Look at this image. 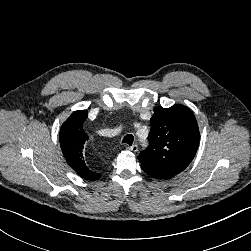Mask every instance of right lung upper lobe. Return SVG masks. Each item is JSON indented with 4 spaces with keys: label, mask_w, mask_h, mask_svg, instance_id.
I'll use <instances>...</instances> for the list:
<instances>
[{
    "label": "right lung upper lobe",
    "mask_w": 251,
    "mask_h": 251,
    "mask_svg": "<svg viewBox=\"0 0 251 251\" xmlns=\"http://www.w3.org/2000/svg\"><path fill=\"white\" fill-rule=\"evenodd\" d=\"M88 117L87 110H78L62 124L59 140L62 153L68 165L82 178L90 181L97 180L100 174L90 169L83 157V148L88 135L83 129V123Z\"/></svg>",
    "instance_id": "right-lung-upper-lobe-1"
}]
</instances>
